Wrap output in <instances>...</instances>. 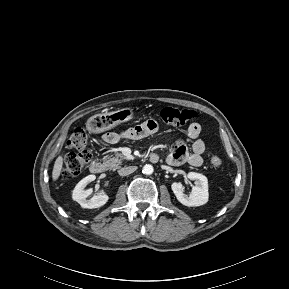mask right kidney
<instances>
[{"label":"right kidney","mask_w":289,"mask_h":289,"mask_svg":"<svg viewBox=\"0 0 289 289\" xmlns=\"http://www.w3.org/2000/svg\"><path fill=\"white\" fill-rule=\"evenodd\" d=\"M96 179L95 175H88L83 178L74 188L72 193V198L76 202H78L82 208L94 209L99 208L106 204L109 197L106 194H100L93 196L91 199H87L93 190L85 189L88 183L94 181Z\"/></svg>","instance_id":"obj_1"}]
</instances>
